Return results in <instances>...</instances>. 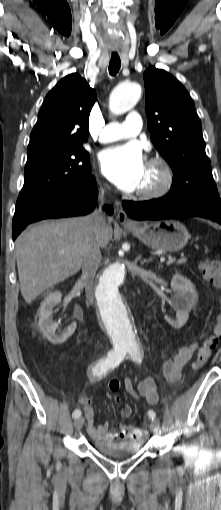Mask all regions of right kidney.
Returning <instances> with one entry per match:
<instances>
[{
  "label": "right kidney",
  "instance_id": "right-kidney-1",
  "mask_svg": "<svg viewBox=\"0 0 221 510\" xmlns=\"http://www.w3.org/2000/svg\"><path fill=\"white\" fill-rule=\"evenodd\" d=\"M61 293L59 291L50 292L41 303L39 315V328L43 335L53 344L64 343L75 331L76 323H71L63 333L56 334L58 324L52 320L53 308L61 302Z\"/></svg>",
  "mask_w": 221,
  "mask_h": 510
}]
</instances>
